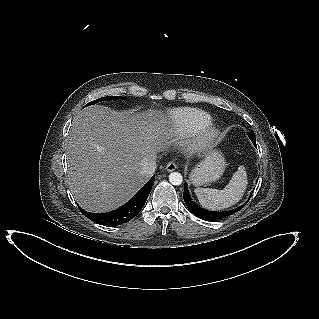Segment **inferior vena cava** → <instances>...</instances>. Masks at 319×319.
Masks as SVG:
<instances>
[{
	"instance_id": "inferior-vena-cava-1",
	"label": "inferior vena cava",
	"mask_w": 319,
	"mask_h": 319,
	"mask_svg": "<svg viewBox=\"0 0 319 319\" xmlns=\"http://www.w3.org/2000/svg\"><path fill=\"white\" fill-rule=\"evenodd\" d=\"M156 160H157V156L154 154L144 158L141 161L142 172L145 174L153 175L157 167Z\"/></svg>"
}]
</instances>
